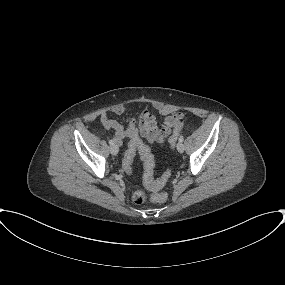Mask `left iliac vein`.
Segmentation results:
<instances>
[{
    "instance_id": "obj_1",
    "label": "left iliac vein",
    "mask_w": 285,
    "mask_h": 285,
    "mask_svg": "<svg viewBox=\"0 0 285 285\" xmlns=\"http://www.w3.org/2000/svg\"><path fill=\"white\" fill-rule=\"evenodd\" d=\"M176 149L179 153H182L184 151V145L182 142H178L176 145Z\"/></svg>"
}]
</instances>
